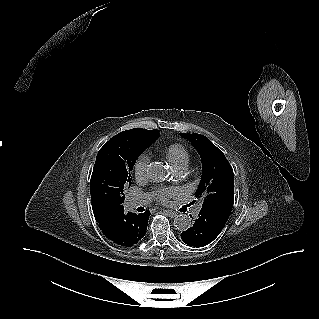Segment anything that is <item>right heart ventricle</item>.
I'll return each instance as SVG.
<instances>
[{
	"mask_svg": "<svg viewBox=\"0 0 319 319\" xmlns=\"http://www.w3.org/2000/svg\"><path fill=\"white\" fill-rule=\"evenodd\" d=\"M167 161L174 169L187 166L190 160L188 150L180 144H171L165 150Z\"/></svg>",
	"mask_w": 319,
	"mask_h": 319,
	"instance_id": "e07e8e85",
	"label": "right heart ventricle"
}]
</instances>
